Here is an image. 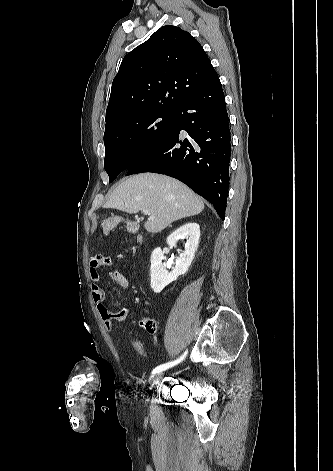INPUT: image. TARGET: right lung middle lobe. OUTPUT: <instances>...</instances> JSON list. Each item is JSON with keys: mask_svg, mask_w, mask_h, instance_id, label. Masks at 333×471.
Masks as SVG:
<instances>
[{"mask_svg": "<svg viewBox=\"0 0 333 471\" xmlns=\"http://www.w3.org/2000/svg\"><path fill=\"white\" fill-rule=\"evenodd\" d=\"M175 112L148 110L117 120L105 129L104 168L112 182L173 125Z\"/></svg>", "mask_w": 333, "mask_h": 471, "instance_id": "obj_1", "label": "right lung middle lobe"}]
</instances>
